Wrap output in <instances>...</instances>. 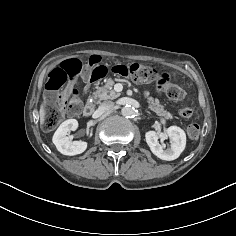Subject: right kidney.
I'll return each mask as SVG.
<instances>
[{
	"label": "right kidney",
	"mask_w": 236,
	"mask_h": 236,
	"mask_svg": "<svg viewBox=\"0 0 236 236\" xmlns=\"http://www.w3.org/2000/svg\"><path fill=\"white\" fill-rule=\"evenodd\" d=\"M78 128L76 119H68L64 121L53 135L52 141L57 150L64 155H77L83 153L87 148V142L72 141L67 134Z\"/></svg>",
	"instance_id": "right-kidney-1"
}]
</instances>
